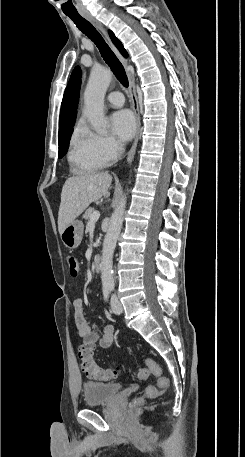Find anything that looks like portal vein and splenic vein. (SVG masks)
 <instances>
[{
	"instance_id": "1",
	"label": "portal vein and splenic vein",
	"mask_w": 245,
	"mask_h": 457,
	"mask_svg": "<svg viewBox=\"0 0 245 457\" xmlns=\"http://www.w3.org/2000/svg\"><path fill=\"white\" fill-rule=\"evenodd\" d=\"M99 216H100L99 210H94L93 214H91V216H90L91 224H94V222H97Z\"/></svg>"
}]
</instances>
